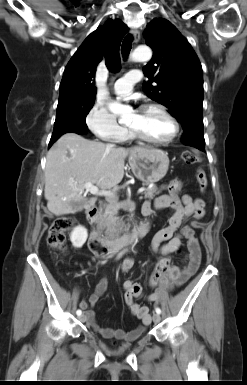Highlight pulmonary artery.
<instances>
[{
	"label": "pulmonary artery",
	"mask_w": 247,
	"mask_h": 385,
	"mask_svg": "<svg viewBox=\"0 0 247 385\" xmlns=\"http://www.w3.org/2000/svg\"><path fill=\"white\" fill-rule=\"evenodd\" d=\"M141 79L139 70H130L122 78L118 79L114 84V91L120 96H128L131 94L135 83Z\"/></svg>",
	"instance_id": "obj_1"
}]
</instances>
